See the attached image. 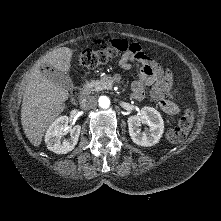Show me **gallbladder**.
<instances>
[{
	"instance_id": "bac80fb5",
	"label": "gallbladder",
	"mask_w": 221,
	"mask_h": 221,
	"mask_svg": "<svg viewBox=\"0 0 221 221\" xmlns=\"http://www.w3.org/2000/svg\"><path fill=\"white\" fill-rule=\"evenodd\" d=\"M42 75L49 81L54 82L67 90L73 89V82L68 74L59 70L43 68Z\"/></svg>"
}]
</instances>
